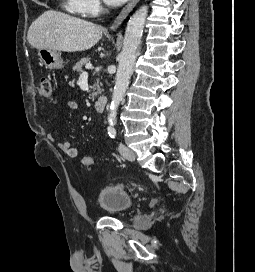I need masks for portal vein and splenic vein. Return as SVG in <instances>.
I'll return each instance as SVG.
<instances>
[{
	"instance_id": "obj_1",
	"label": "portal vein and splenic vein",
	"mask_w": 255,
	"mask_h": 272,
	"mask_svg": "<svg viewBox=\"0 0 255 272\" xmlns=\"http://www.w3.org/2000/svg\"><path fill=\"white\" fill-rule=\"evenodd\" d=\"M86 69H91L92 68V64L88 63L85 66ZM87 74V72H83V75Z\"/></svg>"
}]
</instances>
